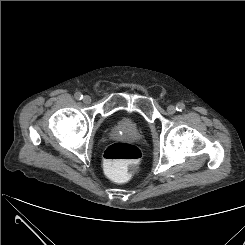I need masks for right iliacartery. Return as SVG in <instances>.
Wrapping results in <instances>:
<instances>
[{
  "label": "right iliac artery",
  "instance_id": "obj_1",
  "mask_svg": "<svg viewBox=\"0 0 245 245\" xmlns=\"http://www.w3.org/2000/svg\"><path fill=\"white\" fill-rule=\"evenodd\" d=\"M75 98H76L77 100H81V99L83 98V95H82L80 92H77V93L75 94Z\"/></svg>",
  "mask_w": 245,
  "mask_h": 245
}]
</instances>
